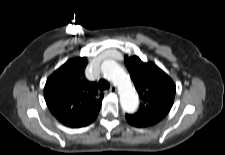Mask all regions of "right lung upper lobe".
I'll list each match as a JSON object with an SVG mask.
<instances>
[{
	"instance_id": "cb5924a9",
	"label": "right lung upper lobe",
	"mask_w": 225,
	"mask_h": 155,
	"mask_svg": "<svg viewBox=\"0 0 225 155\" xmlns=\"http://www.w3.org/2000/svg\"><path fill=\"white\" fill-rule=\"evenodd\" d=\"M86 57L67 61L47 80L44 88L46 104L62 124L77 128L91 124L97 117L103 94L97 98L95 82L85 78Z\"/></svg>"
}]
</instances>
